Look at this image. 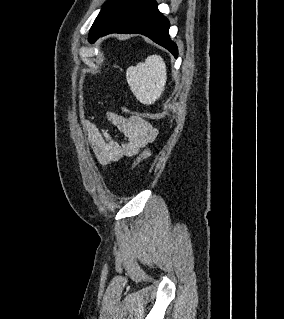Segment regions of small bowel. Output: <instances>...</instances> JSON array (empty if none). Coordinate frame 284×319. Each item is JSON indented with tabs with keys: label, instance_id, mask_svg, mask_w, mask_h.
<instances>
[{
	"label": "small bowel",
	"instance_id": "small-bowel-1",
	"mask_svg": "<svg viewBox=\"0 0 284 319\" xmlns=\"http://www.w3.org/2000/svg\"><path fill=\"white\" fill-rule=\"evenodd\" d=\"M106 119L122 133V140L116 139L108 130L100 129L88 120L83 122L89 144L102 167L138 154L142 148L152 143L158 134L149 121L138 116L124 117L109 112Z\"/></svg>",
	"mask_w": 284,
	"mask_h": 319
}]
</instances>
